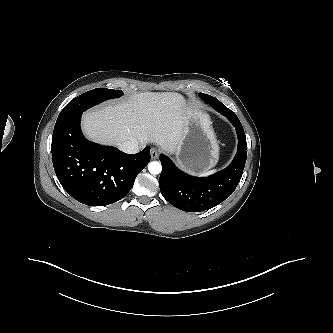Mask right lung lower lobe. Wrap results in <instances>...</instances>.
Segmentation results:
<instances>
[{
  "instance_id": "1",
  "label": "right lung lower lobe",
  "mask_w": 333,
  "mask_h": 333,
  "mask_svg": "<svg viewBox=\"0 0 333 333\" xmlns=\"http://www.w3.org/2000/svg\"><path fill=\"white\" fill-rule=\"evenodd\" d=\"M81 115L63 112L58 116L51 145L54 170L63 188L77 201L109 205L130 191L150 161V147L126 154L88 141L80 129Z\"/></svg>"
}]
</instances>
